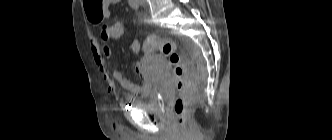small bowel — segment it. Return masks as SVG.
Here are the masks:
<instances>
[{"label":"small bowel","mask_w":332,"mask_h":140,"mask_svg":"<svg viewBox=\"0 0 332 140\" xmlns=\"http://www.w3.org/2000/svg\"><path fill=\"white\" fill-rule=\"evenodd\" d=\"M121 0H105L104 15L103 17H109L110 8L118 4ZM93 23H98L90 20ZM113 39L100 32L98 38H95L92 42V53L96 64L102 72L104 80L107 82L108 93L115 94L117 91V85L127 91L125 99L129 102L133 101L135 96L145 97L150 93L151 85L147 75L145 74L141 65L136 66V72L142 79L140 84H136L128 80V78L120 71L114 70L109 73L106 65L105 58L111 56V51L108 47V43ZM132 50L136 53L142 51V47L139 41L135 40L132 43Z\"/></svg>","instance_id":"1"}]
</instances>
